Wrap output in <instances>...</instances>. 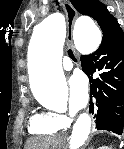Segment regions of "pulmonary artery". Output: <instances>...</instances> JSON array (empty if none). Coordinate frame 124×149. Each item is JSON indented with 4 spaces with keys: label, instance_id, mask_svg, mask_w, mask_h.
<instances>
[{
    "label": "pulmonary artery",
    "instance_id": "pulmonary-artery-1",
    "mask_svg": "<svg viewBox=\"0 0 124 149\" xmlns=\"http://www.w3.org/2000/svg\"><path fill=\"white\" fill-rule=\"evenodd\" d=\"M63 68L65 70H70L72 68V62L71 59L69 57H64L63 59Z\"/></svg>",
    "mask_w": 124,
    "mask_h": 149
}]
</instances>
